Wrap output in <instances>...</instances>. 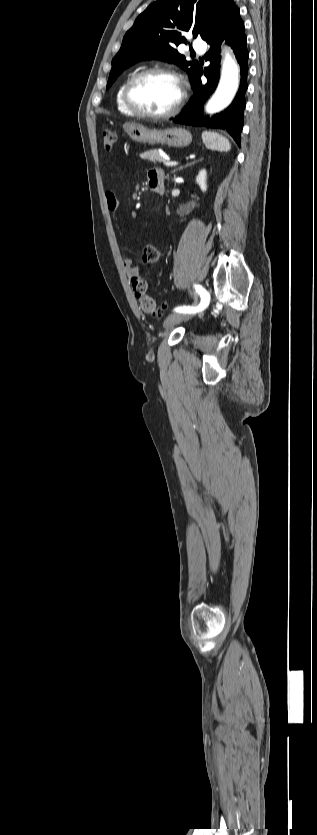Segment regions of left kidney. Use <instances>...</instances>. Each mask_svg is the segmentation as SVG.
I'll return each mask as SVG.
<instances>
[{
    "mask_svg": "<svg viewBox=\"0 0 317 835\" xmlns=\"http://www.w3.org/2000/svg\"><path fill=\"white\" fill-rule=\"evenodd\" d=\"M196 182L199 185L200 189L203 192H206V190H207V172H206L205 169H202L198 173V176L196 177Z\"/></svg>",
    "mask_w": 317,
    "mask_h": 835,
    "instance_id": "1",
    "label": "left kidney"
}]
</instances>
